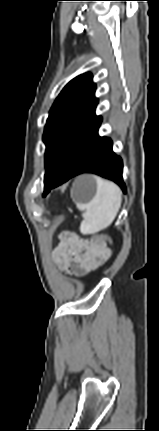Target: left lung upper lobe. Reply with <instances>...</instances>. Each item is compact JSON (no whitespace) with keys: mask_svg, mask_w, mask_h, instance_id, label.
<instances>
[{"mask_svg":"<svg viewBox=\"0 0 159 431\" xmlns=\"http://www.w3.org/2000/svg\"><path fill=\"white\" fill-rule=\"evenodd\" d=\"M92 74L85 73L71 80L55 100L45 126V189L58 174L64 157L76 137L100 116L95 115L98 99Z\"/></svg>","mask_w":159,"mask_h":431,"instance_id":"1","label":"left lung upper lobe"}]
</instances>
